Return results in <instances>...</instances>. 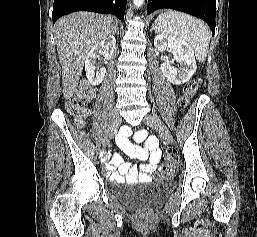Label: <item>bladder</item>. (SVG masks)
<instances>
[{"label":"bladder","mask_w":257,"mask_h":237,"mask_svg":"<svg viewBox=\"0 0 257 237\" xmlns=\"http://www.w3.org/2000/svg\"><path fill=\"white\" fill-rule=\"evenodd\" d=\"M169 190L168 182L157 181L147 188L130 190L120 199L122 203L134 209L154 208L162 202Z\"/></svg>","instance_id":"bladder-1"}]
</instances>
